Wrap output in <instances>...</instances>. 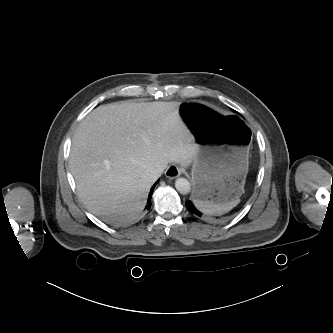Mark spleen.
<instances>
[{
    "mask_svg": "<svg viewBox=\"0 0 333 333\" xmlns=\"http://www.w3.org/2000/svg\"><path fill=\"white\" fill-rule=\"evenodd\" d=\"M239 202H240V200H238L237 202H234V203L217 204V203H213L210 201H203V200H199V199L193 200L195 207L199 211L203 212L204 214L214 215V216L222 215L226 212H229L236 205H238Z\"/></svg>",
    "mask_w": 333,
    "mask_h": 333,
    "instance_id": "spleen-1",
    "label": "spleen"
}]
</instances>
